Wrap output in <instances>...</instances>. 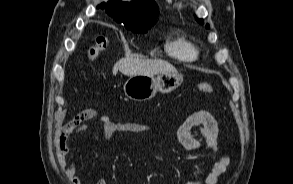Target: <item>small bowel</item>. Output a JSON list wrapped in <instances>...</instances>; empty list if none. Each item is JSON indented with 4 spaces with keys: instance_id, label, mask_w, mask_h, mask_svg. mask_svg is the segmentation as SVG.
Wrapping results in <instances>:
<instances>
[{
    "instance_id": "small-bowel-1",
    "label": "small bowel",
    "mask_w": 293,
    "mask_h": 184,
    "mask_svg": "<svg viewBox=\"0 0 293 184\" xmlns=\"http://www.w3.org/2000/svg\"><path fill=\"white\" fill-rule=\"evenodd\" d=\"M96 120L100 123L105 140L111 142L117 133L151 132L147 125L137 122H114L109 116L99 115L94 109H86L73 116L60 130L59 142L63 146L59 164L66 168V174L70 184H83L82 178L76 173L75 163L67 157L66 141L75 133H80L88 128V122ZM179 143L187 150L196 151L205 146L216 153H220L219 127L212 114L206 110L188 111L182 124L176 132ZM229 157L222 154L211 166L205 175L190 180L186 184H217L219 178L225 173L229 165ZM95 184H107L105 180H98Z\"/></svg>"
}]
</instances>
